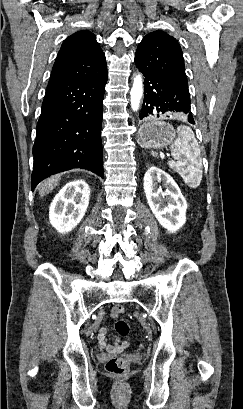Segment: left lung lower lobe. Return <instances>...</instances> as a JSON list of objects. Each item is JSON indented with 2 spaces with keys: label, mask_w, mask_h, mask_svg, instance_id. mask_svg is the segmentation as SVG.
<instances>
[{
  "label": "left lung lower lobe",
  "mask_w": 243,
  "mask_h": 409,
  "mask_svg": "<svg viewBox=\"0 0 243 409\" xmlns=\"http://www.w3.org/2000/svg\"><path fill=\"white\" fill-rule=\"evenodd\" d=\"M140 71L145 77V96L140 119L148 116L159 117L170 112L185 114L191 124H195L190 112V94L187 86L160 74Z\"/></svg>",
  "instance_id": "left-lung-lower-lobe-1"
}]
</instances>
